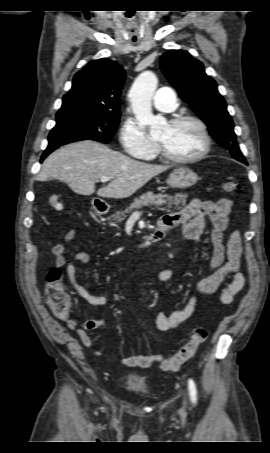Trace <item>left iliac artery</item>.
<instances>
[{
  "label": "left iliac artery",
  "mask_w": 270,
  "mask_h": 453,
  "mask_svg": "<svg viewBox=\"0 0 270 453\" xmlns=\"http://www.w3.org/2000/svg\"><path fill=\"white\" fill-rule=\"evenodd\" d=\"M188 387H189L191 400L193 403H195L197 400V389H196V385L192 379H189Z\"/></svg>",
  "instance_id": "44dca946"
}]
</instances>
